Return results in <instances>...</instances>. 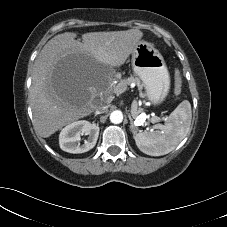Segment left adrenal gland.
I'll return each mask as SVG.
<instances>
[{
	"instance_id": "1",
	"label": "left adrenal gland",
	"mask_w": 227,
	"mask_h": 227,
	"mask_svg": "<svg viewBox=\"0 0 227 227\" xmlns=\"http://www.w3.org/2000/svg\"><path fill=\"white\" fill-rule=\"evenodd\" d=\"M128 117H129V120H130V129L132 130L133 133H135V131H136L137 128L134 125L133 119H132V117H131L130 114L128 115Z\"/></svg>"
}]
</instances>
